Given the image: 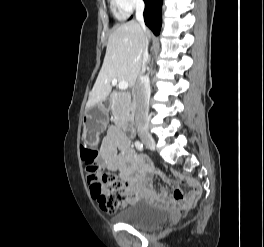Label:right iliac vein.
I'll return each mask as SVG.
<instances>
[{"mask_svg":"<svg viewBox=\"0 0 264 247\" xmlns=\"http://www.w3.org/2000/svg\"><path fill=\"white\" fill-rule=\"evenodd\" d=\"M139 137L147 148L155 149V140L152 135L145 130L139 132Z\"/></svg>","mask_w":264,"mask_h":247,"instance_id":"1","label":"right iliac vein"}]
</instances>
